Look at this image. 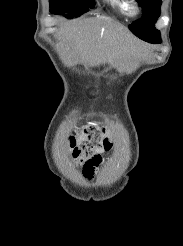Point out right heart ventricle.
<instances>
[{"instance_id":"obj_1","label":"right heart ventricle","mask_w":183,"mask_h":246,"mask_svg":"<svg viewBox=\"0 0 183 246\" xmlns=\"http://www.w3.org/2000/svg\"><path fill=\"white\" fill-rule=\"evenodd\" d=\"M112 8L122 14L128 13V0H105Z\"/></svg>"}]
</instances>
